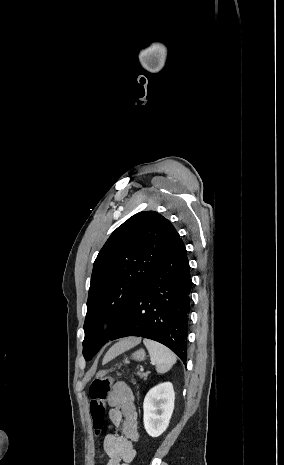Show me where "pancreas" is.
Masks as SVG:
<instances>
[{
  "mask_svg": "<svg viewBox=\"0 0 284 465\" xmlns=\"http://www.w3.org/2000/svg\"><path fill=\"white\" fill-rule=\"evenodd\" d=\"M149 373H150V371H148V373H137V375H139V377H141V379H147Z\"/></svg>",
  "mask_w": 284,
  "mask_h": 465,
  "instance_id": "pancreas-1",
  "label": "pancreas"
}]
</instances>
